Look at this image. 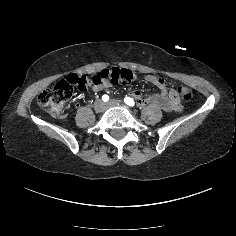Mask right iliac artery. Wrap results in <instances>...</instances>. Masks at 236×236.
<instances>
[{
	"mask_svg": "<svg viewBox=\"0 0 236 236\" xmlns=\"http://www.w3.org/2000/svg\"><path fill=\"white\" fill-rule=\"evenodd\" d=\"M102 100L104 101V102H107L108 100H109V96L108 95H103L102 96Z\"/></svg>",
	"mask_w": 236,
	"mask_h": 236,
	"instance_id": "1",
	"label": "right iliac artery"
}]
</instances>
